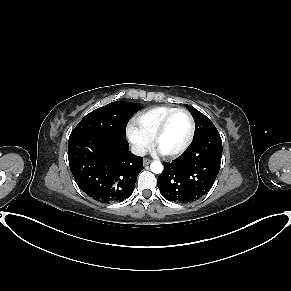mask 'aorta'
Segmentation results:
<instances>
[{
	"mask_svg": "<svg viewBox=\"0 0 291 291\" xmlns=\"http://www.w3.org/2000/svg\"><path fill=\"white\" fill-rule=\"evenodd\" d=\"M151 171L155 174H160L163 171V165L159 161H154L150 165Z\"/></svg>",
	"mask_w": 291,
	"mask_h": 291,
	"instance_id": "obj_1",
	"label": "aorta"
}]
</instances>
